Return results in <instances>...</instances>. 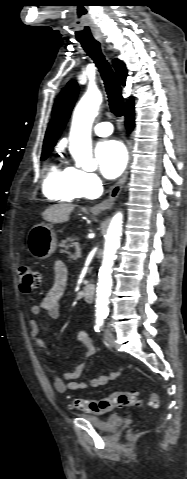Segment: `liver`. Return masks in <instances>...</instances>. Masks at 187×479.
I'll list each match as a JSON object with an SVG mask.
<instances>
[{"label":"liver","mask_w":187,"mask_h":479,"mask_svg":"<svg viewBox=\"0 0 187 479\" xmlns=\"http://www.w3.org/2000/svg\"><path fill=\"white\" fill-rule=\"evenodd\" d=\"M75 205L70 203L54 204L48 207L43 213L42 218L45 221L57 224L67 222Z\"/></svg>","instance_id":"6515ba94"}]
</instances>
